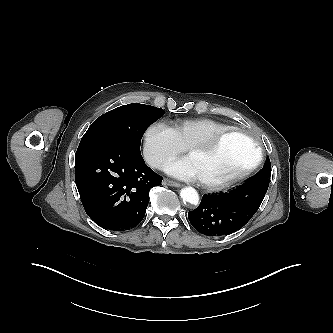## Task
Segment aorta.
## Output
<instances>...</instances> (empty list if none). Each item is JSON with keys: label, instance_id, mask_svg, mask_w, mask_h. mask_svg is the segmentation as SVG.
I'll return each mask as SVG.
<instances>
[{"label": "aorta", "instance_id": "1", "mask_svg": "<svg viewBox=\"0 0 333 333\" xmlns=\"http://www.w3.org/2000/svg\"><path fill=\"white\" fill-rule=\"evenodd\" d=\"M180 196L183 201L188 202L192 205H197L199 202L198 192L193 187H185L181 189Z\"/></svg>", "mask_w": 333, "mask_h": 333}]
</instances>
